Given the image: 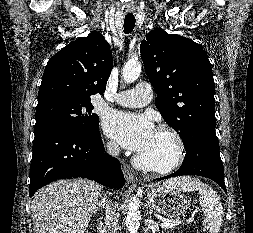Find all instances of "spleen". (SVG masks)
I'll list each match as a JSON object with an SVG mask.
<instances>
[{
	"mask_svg": "<svg viewBox=\"0 0 253 233\" xmlns=\"http://www.w3.org/2000/svg\"><path fill=\"white\" fill-rule=\"evenodd\" d=\"M164 185L180 192L197 191L199 193V203L205 216V228L210 233L219 232L223 221V206L219 196L210 186L198 179H191L189 176L168 180Z\"/></svg>",
	"mask_w": 253,
	"mask_h": 233,
	"instance_id": "1",
	"label": "spleen"
}]
</instances>
